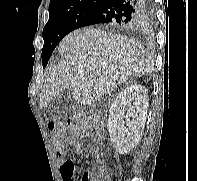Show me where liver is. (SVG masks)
I'll return each mask as SVG.
<instances>
[{
  "label": "liver",
  "mask_w": 197,
  "mask_h": 181,
  "mask_svg": "<svg viewBox=\"0 0 197 181\" xmlns=\"http://www.w3.org/2000/svg\"><path fill=\"white\" fill-rule=\"evenodd\" d=\"M61 60L49 73L40 107L67 88H72L77 104L91 105L103 98L130 76L149 74L152 58L132 39L98 28L76 30L59 44Z\"/></svg>",
  "instance_id": "liver-1"
}]
</instances>
